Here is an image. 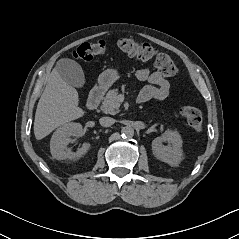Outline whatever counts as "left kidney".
<instances>
[{
    "label": "left kidney",
    "mask_w": 239,
    "mask_h": 239,
    "mask_svg": "<svg viewBox=\"0 0 239 239\" xmlns=\"http://www.w3.org/2000/svg\"><path fill=\"white\" fill-rule=\"evenodd\" d=\"M163 142H168V145H163ZM182 143L180 134L168 129L152 141V151L157 159L170 166H176L182 160Z\"/></svg>",
    "instance_id": "1"
}]
</instances>
